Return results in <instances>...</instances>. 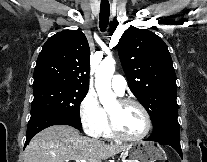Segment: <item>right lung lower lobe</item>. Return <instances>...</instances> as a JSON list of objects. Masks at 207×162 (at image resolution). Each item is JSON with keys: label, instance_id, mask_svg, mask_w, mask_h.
<instances>
[{"label": "right lung lower lobe", "instance_id": "obj_1", "mask_svg": "<svg viewBox=\"0 0 207 162\" xmlns=\"http://www.w3.org/2000/svg\"><path fill=\"white\" fill-rule=\"evenodd\" d=\"M59 124L69 125L76 129H79L82 126L81 122H77L73 118L57 112H38L36 114L31 115V118L28 122L25 146L29 143L32 137L41 130L49 126Z\"/></svg>", "mask_w": 207, "mask_h": 162}]
</instances>
